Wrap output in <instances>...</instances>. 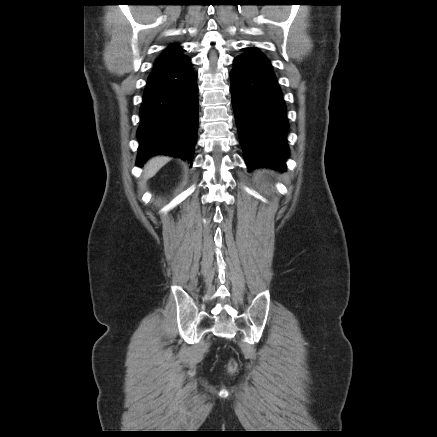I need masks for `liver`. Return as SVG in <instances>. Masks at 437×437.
I'll return each mask as SVG.
<instances>
[{"label": "liver", "mask_w": 437, "mask_h": 437, "mask_svg": "<svg viewBox=\"0 0 437 437\" xmlns=\"http://www.w3.org/2000/svg\"><path fill=\"white\" fill-rule=\"evenodd\" d=\"M169 160L170 158L166 156L151 158L145 165L144 179L153 177Z\"/></svg>", "instance_id": "obj_1"}]
</instances>
